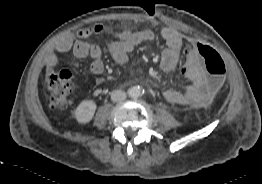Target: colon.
Instances as JSON below:
<instances>
[{
  "label": "colon",
  "mask_w": 262,
  "mask_h": 184,
  "mask_svg": "<svg viewBox=\"0 0 262 184\" xmlns=\"http://www.w3.org/2000/svg\"><path fill=\"white\" fill-rule=\"evenodd\" d=\"M194 51L202 61L207 73V87L214 94L224 84L226 77L225 63L212 47L201 42L194 43ZM49 104L53 109H64L72 100L75 92L71 72L64 70L48 76Z\"/></svg>",
  "instance_id": "1"
}]
</instances>
